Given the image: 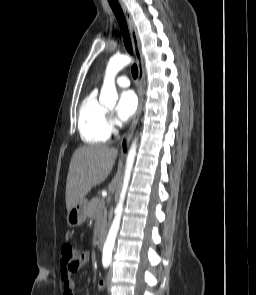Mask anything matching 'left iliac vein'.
I'll list each match as a JSON object with an SVG mask.
<instances>
[{"mask_svg": "<svg viewBox=\"0 0 256 295\" xmlns=\"http://www.w3.org/2000/svg\"><path fill=\"white\" fill-rule=\"evenodd\" d=\"M106 284H107V288L108 290L111 288L112 286V270L110 269L107 275V279H106Z\"/></svg>", "mask_w": 256, "mask_h": 295, "instance_id": "obj_1", "label": "left iliac vein"}]
</instances>
